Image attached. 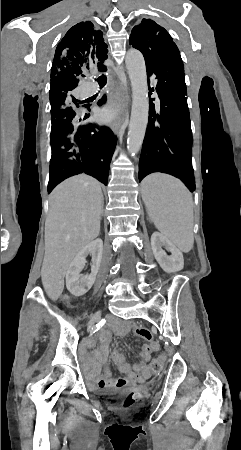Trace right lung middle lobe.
I'll return each mask as SVG.
<instances>
[{"mask_svg": "<svg viewBox=\"0 0 241 450\" xmlns=\"http://www.w3.org/2000/svg\"><path fill=\"white\" fill-rule=\"evenodd\" d=\"M79 100L73 96L50 101L51 104V145L52 148L71 147L74 145L73 136L57 129L56 125L63 119L75 120L80 114L78 112Z\"/></svg>", "mask_w": 241, "mask_h": 450, "instance_id": "1", "label": "right lung middle lobe"}]
</instances>
